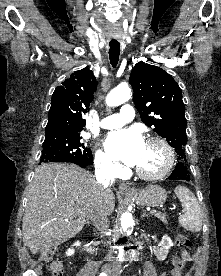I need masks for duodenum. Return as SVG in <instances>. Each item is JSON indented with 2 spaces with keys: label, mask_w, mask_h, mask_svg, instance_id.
<instances>
[{
  "label": "duodenum",
  "mask_w": 221,
  "mask_h": 276,
  "mask_svg": "<svg viewBox=\"0 0 221 276\" xmlns=\"http://www.w3.org/2000/svg\"><path fill=\"white\" fill-rule=\"evenodd\" d=\"M85 249H86V250H92L91 247L88 246V245H85Z\"/></svg>",
  "instance_id": "410a0bca"
}]
</instances>
